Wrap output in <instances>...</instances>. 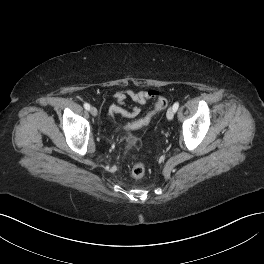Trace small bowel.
Masks as SVG:
<instances>
[{"mask_svg":"<svg viewBox=\"0 0 264 264\" xmlns=\"http://www.w3.org/2000/svg\"><path fill=\"white\" fill-rule=\"evenodd\" d=\"M160 92L154 89L151 90H121L114 94L116 103L110 106L109 112L113 114H121L128 118L136 117L140 113V108L137 106L126 107L124 102L126 98H130L133 102L137 104H144L150 99L158 98Z\"/></svg>","mask_w":264,"mask_h":264,"instance_id":"obj_1","label":"small bowel"}]
</instances>
